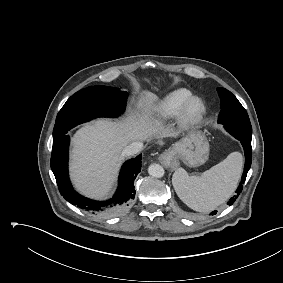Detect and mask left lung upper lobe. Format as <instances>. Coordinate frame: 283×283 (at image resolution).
<instances>
[{
  "label": "left lung upper lobe",
  "instance_id": "obj_1",
  "mask_svg": "<svg viewBox=\"0 0 283 283\" xmlns=\"http://www.w3.org/2000/svg\"><path fill=\"white\" fill-rule=\"evenodd\" d=\"M221 99V111L218 123H222L225 129L239 139L247 134L252 135V127L248 114L237 98L227 89H217Z\"/></svg>",
  "mask_w": 283,
  "mask_h": 283
}]
</instances>
